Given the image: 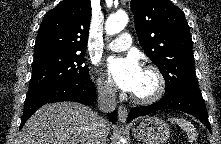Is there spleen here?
<instances>
[{
    "label": "spleen",
    "instance_id": "spleen-1",
    "mask_svg": "<svg viewBox=\"0 0 221 144\" xmlns=\"http://www.w3.org/2000/svg\"><path fill=\"white\" fill-rule=\"evenodd\" d=\"M170 122L181 127L187 134L189 141L192 143L196 140L198 134L195 127L183 118H170Z\"/></svg>",
    "mask_w": 221,
    "mask_h": 144
}]
</instances>
